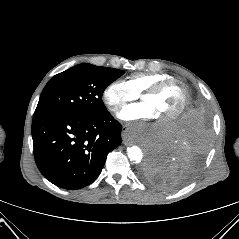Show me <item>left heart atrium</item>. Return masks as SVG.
<instances>
[{
  "mask_svg": "<svg viewBox=\"0 0 239 239\" xmlns=\"http://www.w3.org/2000/svg\"><path fill=\"white\" fill-rule=\"evenodd\" d=\"M118 117L127 122L154 119L150 108L144 102L133 103L125 106L119 113Z\"/></svg>",
  "mask_w": 239,
  "mask_h": 239,
  "instance_id": "39dd6f15",
  "label": "left heart atrium"
}]
</instances>
